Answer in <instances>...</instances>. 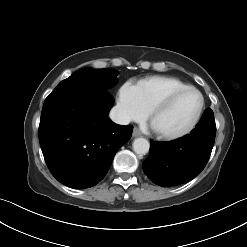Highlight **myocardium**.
<instances>
[{
    "label": "myocardium",
    "mask_w": 247,
    "mask_h": 247,
    "mask_svg": "<svg viewBox=\"0 0 247 247\" xmlns=\"http://www.w3.org/2000/svg\"><path fill=\"white\" fill-rule=\"evenodd\" d=\"M190 91L197 93L200 97V105L192 122L185 129L176 133H162L155 130L151 125V121L154 118V116L157 115L159 112L163 111L164 109H166L176 97ZM204 108H205L204 95L197 88L189 86L178 90H174L169 94H167L166 96H164L163 98H161L159 101H157L148 111V121L152 127L153 132L160 139L168 140V141L177 140L189 135L197 127L198 123L201 120Z\"/></svg>",
    "instance_id": "f54148a6"
}]
</instances>
